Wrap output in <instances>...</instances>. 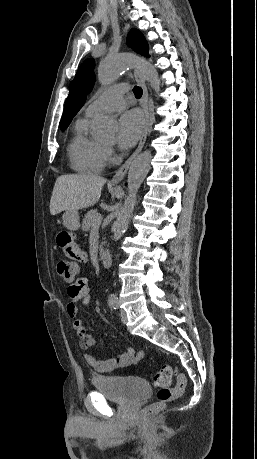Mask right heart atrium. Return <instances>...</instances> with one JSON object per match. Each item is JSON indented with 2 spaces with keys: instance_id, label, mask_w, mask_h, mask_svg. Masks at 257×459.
Wrapping results in <instances>:
<instances>
[{
  "instance_id": "d8ad5b80",
  "label": "right heart atrium",
  "mask_w": 257,
  "mask_h": 459,
  "mask_svg": "<svg viewBox=\"0 0 257 459\" xmlns=\"http://www.w3.org/2000/svg\"><path fill=\"white\" fill-rule=\"evenodd\" d=\"M114 157V151L111 146H104L103 149V158L105 162H110L113 160Z\"/></svg>"
}]
</instances>
